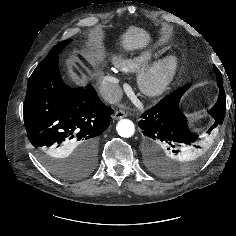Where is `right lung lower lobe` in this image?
I'll return each instance as SVG.
<instances>
[{"label": "right lung lower lobe", "instance_id": "1", "mask_svg": "<svg viewBox=\"0 0 236 236\" xmlns=\"http://www.w3.org/2000/svg\"><path fill=\"white\" fill-rule=\"evenodd\" d=\"M28 139L40 155H65L96 163L98 136L109 127L113 110L92 86L68 87L60 78L58 57L42 61L29 78L24 102Z\"/></svg>", "mask_w": 236, "mask_h": 236}]
</instances>
